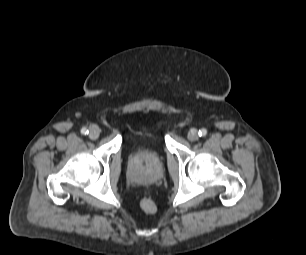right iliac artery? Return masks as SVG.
<instances>
[{"mask_svg": "<svg viewBox=\"0 0 306 255\" xmlns=\"http://www.w3.org/2000/svg\"><path fill=\"white\" fill-rule=\"evenodd\" d=\"M88 132H89V131H88L87 128H82V129H81V133L84 134V135L88 134Z\"/></svg>", "mask_w": 306, "mask_h": 255, "instance_id": "obj_1", "label": "right iliac artery"}]
</instances>
